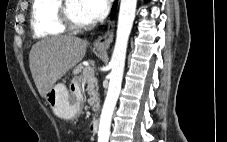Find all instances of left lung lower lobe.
<instances>
[{
    "mask_svg": "<svg viewBox=\"0 0 227 142\" xmlns=\"http://www.w3.org/2000/svg\"><path fill=\"white\" fill-rule=\"evenodd\" d=\"M116 5H117V0L115 1L114 5H113L112 15H114V13H115Z\"/></svg>",
    "mask_w": 227,
    "mask_h": 142,
    "instance_id": "1",
    "label": "left lung lower lobe"
}]
</instances>
